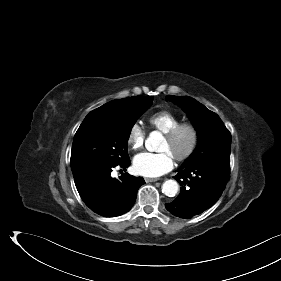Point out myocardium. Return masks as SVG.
<instances>
[{
    "label": "myocardium",
    "mask_w": 281,
    "mask_h": 281,
    "mask_svg": "<svg viewBox=\"0 0 281 281\" xmlns=\"http://www.w3.org/2000/svg\"><path fill=\"white\" fill-rule=\"evenodd\" d=\"M184 131L190 134L191 141L186 151L174 157L177 161H186L192 157L198 147L199 132L194 124L189 122H180L165 133V138L170 142H174Z\"/></svg>",
    "instance_id": "f54148a6"
}]
</instances>
